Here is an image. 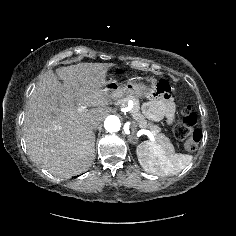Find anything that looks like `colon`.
<instances>
[{
	"mask_svg": "<svg viewBox=\"0 0 236 236\" xmlns=\"http://www.w3.org/2000/svg\"><path fill=\"white\" fill-rule=\"evenodd\" d=\"M158 90L161 93L169 91L167 83L162 82L159 85ZM198 115L190 107H186L183 110L182 120L175 126L174 134L178 140L183 144L184 149L187 152H193L198 148L202 134L197 128Z\"/></svg>",
	"mask_w": 236,
	"mask_h": 236,
	"instance_id": "5ec220e1",
	"label": "colon"
}]
</instances>
